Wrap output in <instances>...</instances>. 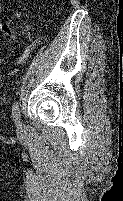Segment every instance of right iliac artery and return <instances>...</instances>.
I'll return each instance as SVG.
<instances>
[{"label":"right iliac artery","instance_id":"1","mask_svg":"<svg viewBox=\"0 0 123 201\" xmlns=\"http://www.w3.org/2000/svg\"><path fill=\"white\" fill-rule=\"evenodd\" d=\"M13 118L17 126H20V110H19V103L16 102L13 106L12 110Z\"/></svg>","mask_w":123,"mask_h":201}]
</instances>
